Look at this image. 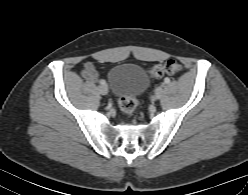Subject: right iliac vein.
Listing matches in <instances>:
<instances>
[{
    "label": "right iliac vein",
    "mask_w": 248,
    "mask_h": 195,
    "mask_svg": "<svg viewBox=\"0 0 248 195\" xmlns=\"http://www.w3.org/2000/svg\"><path fill=\"white\" fill-rule=\"evenodd\" d=\"M98 91L100 92V94L106 95L108 93V88L107 86L102 85L98 87Z\"/></svg>",
    "instance_id": "obj_1"
}]
</instances>
